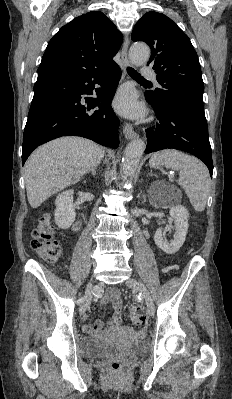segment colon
Instances as JSON below:
<instances>
[{
    "label": "colon",
    "mask_w": 232,
    "mask_h": 399,
    "mask_svg": "<svg viewBox=\"0 0 232 399\" xmlns=\"http://www.w3.org/2000/svg\"><path fill=\"white\" fill-rule=\"evenodd\" d=\"M51 220L47 216L39 218L35 228L29 234V241L31 243V249H38V251L44 255L48 261H53L60 253L59 244H53L51 242ZM132 324H147L148 318L145 308H132ZM114 374L120 373L119 367L113 368Z\"/></svg>",
    "instance_id": "obj_1"
}]
</instances>
